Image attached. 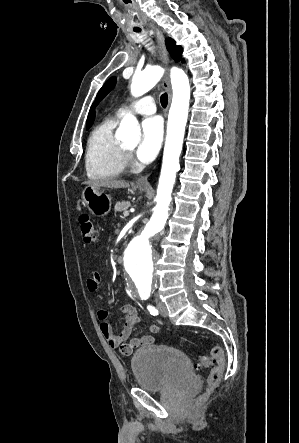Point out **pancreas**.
Instances as JSON below:
<instances>
[{"instance_id":"obj_1","label":"pancreas","mask_w":299,"mask_h":443,"mask_svg":"<svg viewBox=\"0 0 299 443\" xmlns=\"http://www.w3.org/2000/svg\"><path fill=\"white\" fill-rule=\"evenodd\" d=\"M130 206V202L129 201H121V202H117L115 205V213L116 212H125L127 211V209Z\"/></svg>"}]
</instances>
